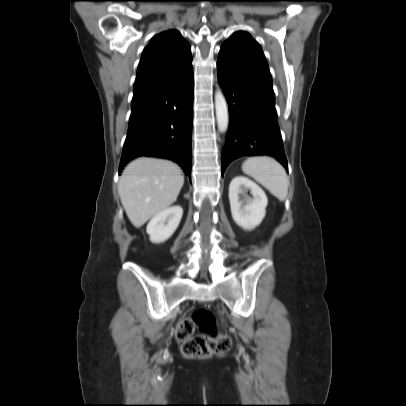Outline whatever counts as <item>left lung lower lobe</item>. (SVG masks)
Returning a JSON list of instances; mask_svg holds the SVG:
<instances>
[{
  "label": "left lung lower lobe",
  "instance_id": "0a47b994",
  "mask_svg": "<svg viewBox=\"0 0 406 406\" xmlns=\"http://www.w3.org/2000/svg\"><path fill=\"white\" fill-rule=\"evenodd\" d=\"M217 72L230 114L221 156L222 174L233 160L242 156H273L288 170L272 79L224 55L218 57Z\"/></svg>",
  "mask_w": 406,
  "mask_h": 406
}]
</instances>
